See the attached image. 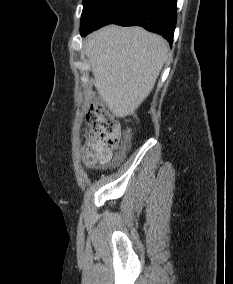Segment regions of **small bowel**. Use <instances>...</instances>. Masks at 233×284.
Segmentation results:
<instances>
[{
  "label": "small bowel",
  "instance_id": "1",
  "mask_svg": "<svg viewBox=\"0 0 233 284\" xmlns=\"http://www.w3.org/2000/svg\"><path fill=\"white\" fill-rule=\"evenodd\" d=\"M85 163H86V165H89V163H88V162H86V161H85Z\"/></svg>",
  "mask_w": 233,
  "mask_h": 284
}]
</instances>
